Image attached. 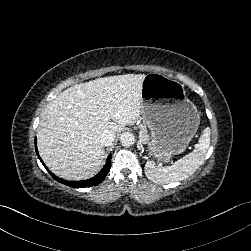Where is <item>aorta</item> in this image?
<instances>
[{
    "instance_id": "762f6f07",
    "label": "aorta",
    "mask_w": 251,
    "mask_h": 251,
    "mask_svg": "<svg viewBox=\"0 0 251 251\" xmlns=\"http://www.w3.org/2000/svg\"><path fill=\"white\" fill-rule=\"evenodd\" d=\"M135 137L132 133L125 132L120 136V142L124 147H130L134 144Z\"/></svg>"
}]
</instances>
